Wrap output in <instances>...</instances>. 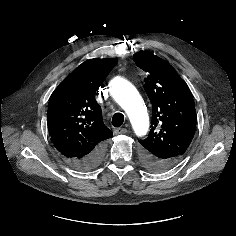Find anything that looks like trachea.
Instances as JSON below:
<instances>
[{
  "label": "trachea",
  "mask_w": 236,
  "mask_h": 236,
  "mask_svg": "<svg viewBox=\"0 0 236 236\" xmlns=\"http://www.w3.org/2000/svg\"><path fill=\"white\" fill-rule=\"evenodd\" d=\"M124 122V115L121 113H115L112 118V125L114 127H120L122 126Z\"/></svg>",
  "instance_id": "trachea-1"
}]
</instances>
